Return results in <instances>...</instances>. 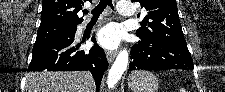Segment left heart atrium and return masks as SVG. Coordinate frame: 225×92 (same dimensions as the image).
Wrapping results in <instances>:
<instances>
[{
	"label": "left heart atrium",
	"instance_id": "39dd6f15",
	"mask_svg": "<svg viewBox=\"0 0 225 92\" xmlns=\"http://www.w3.org/2000/svg\"><path fill=\"white\" fill-rule=\"evenodd\" d=\"M122 40V33L117 24L110 23L99 30L97 41L107 49H114Z\"/></svg>",
	"mask_w": 225,
	"mask_h": 92
}]
</instances>
